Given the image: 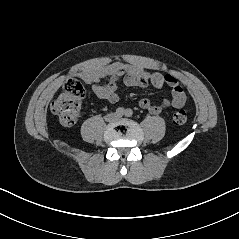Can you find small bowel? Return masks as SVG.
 Masks as SVG:
<instances>
[{
	"label": "small bowel",
	"mask_w": 239,
	"mask_h": 239,
	"mask_svg": "<svg viewBox=\"0 0 239 239\" xmlns=\"http://www.w3.org/2000/svg\"><path fill=\"white\" fill-rule=\"evenodd\" d=\"M78 77L87 83L93 84V91L97 98L116 103L119 100L118 88L120 82L129 87H145L151 84L155 88L168 86L171 88V98L155 104L148 98L139 100V107L153 115H159L165 108H180L185 105L186 95L177 79L170 74L148 72L143 67L135 64L114 62L101 68L83 69ZM108 78V83L98 85L101 78Z\"/></svg>",
	"instance_id": "obj_1"
}]
</instances>
